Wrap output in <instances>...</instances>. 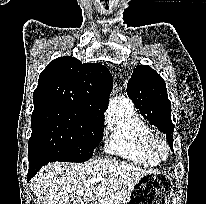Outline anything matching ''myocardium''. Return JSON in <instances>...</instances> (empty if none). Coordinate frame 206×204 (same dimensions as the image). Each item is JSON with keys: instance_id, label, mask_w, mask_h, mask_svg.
<instances>
[{"instance_id": "obj_1", "label": "myocardium", "mask_w": 206, "mask_h": 204, "mask_svg": "<svg viewBox=\"0 0 206 204\" xmlns=\"http://www.w3.org/2000/svg\"><path fill=\"white\" fill-rule=\"evenodd\" d=\"M159 146L162 149V153H159L157 150ZM146 148L149 155L158 163L166 161L170 154V148L167 141L163 137L154 133L148 138Z\"/></svg>"}]
</instances>
